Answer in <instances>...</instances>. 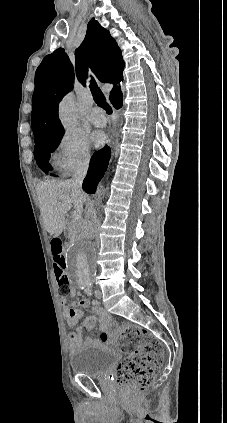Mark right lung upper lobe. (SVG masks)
I'll use <instances>...</instances> for the list:
<instances>
[{
  "label": "right lung upper lobe",
  "instance_id": "cb5924a9",
  "mask_svg": "<svg viewBox=\"0 0 227 423\" xmlns=\"http://www.w3.org/2000/svg\"><path fill=\"white\" fill-rule=\"evenodd\" d=\"M88 66L101 82L123 81L124 62L116 41L94 18L87 33L75 51V68L79 81L85 86ZM73 66L64 49L59 48L44 57L35 73V90L32 97L31 127L34 139L63 134L58 119V104L73 88ZM122 92L114 86L110 101L122 102Z\"/></svg>",
  "mask_w": 227,
  "mask_h": 423
}]
</instances>
